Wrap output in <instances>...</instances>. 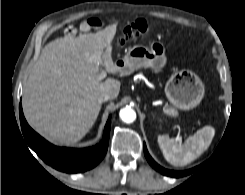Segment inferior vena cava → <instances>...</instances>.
Segmentation results:
<instances>
[{
	"mask_svg": "<svg viewBox=\"0 0 245 195\" xmlns=\"http://www.w3.org/2000/svg\"><path fill=\"white\" fill-rule=\"evenodd\" d=\"M112 99H113V97H112L111 95H109V94H103V95H101V96L99 97L98 101H99L100 103H103V102H105V101H109V100H112Z\"/></svg>",
	"mask_w": 245,
	"mask_h": 195,
	"instance_id": "inferior-vena-cava-1",
	"label": "inferior vena cava"
}]
</instances>
